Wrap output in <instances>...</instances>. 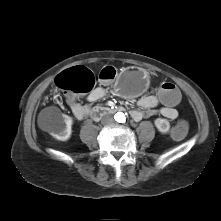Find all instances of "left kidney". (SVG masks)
I'll use <instances>...</instances> for the list:
<instances>
[{"instance_id":"obj_1","label":"left kidney","mask_w":221,"mask_h":221,"mask_svg":"<svg viewBox=\"0 0 221 221\" xmlns=\"http://www.w3.org/2000/svg\"><path fill=\"white\" fill-rule=\"evenodd\" d=\"M154 124H155L156 128L158 129V131L161 132L162 134H166L169 132L170 124H169L168 120H166L164 118H157L154 121Z\"/></svg>"}]
</instances>
